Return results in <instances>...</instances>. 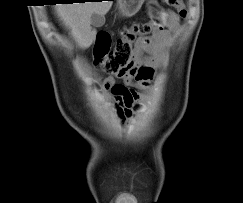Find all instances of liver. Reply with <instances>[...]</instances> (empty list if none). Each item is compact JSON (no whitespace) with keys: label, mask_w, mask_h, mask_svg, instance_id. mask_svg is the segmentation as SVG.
I'll return each mask as SVG.
<instances>
[{"label":"liver","mask_w":243,"mask_h":203,"mask_svg":"<svg viewBox=\"0 0 243 203\" xmlns=\"http://www.w3.org/2000/svg\"><path fill=\"white\" fill-rule=\"evenodd\" d=\"M111 6V1L71 3L61 4L56 11L65 26L71 30L78 46L87 49L96 39V31L91 27L92 14L105 15Z\"/></svg>","instance_id":"liver-1"}]
</instances>
